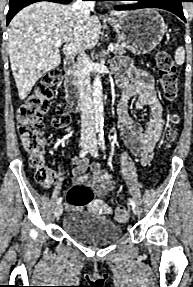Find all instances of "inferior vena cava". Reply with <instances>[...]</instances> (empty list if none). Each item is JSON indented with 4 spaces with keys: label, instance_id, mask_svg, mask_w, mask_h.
<instances>
[{
    "label": "inferior vena cava",
    "instance_id": "1",
    "mask_svg": "<svg viewBox=\"0 0 193 287\" xmlns=\"http://www.w3.org/2000/svg\"><path fill=\"white\" fill-rule=\"evenodd\" d=\"M94 1L77 0L73 5V10H78L84 16H89L90 11L94 8ZM90 60L82 49L78 52V57L75 65V76L79 90V101L81 107V138H95L94 130V113L92 102V90L90 84Z\"/></svg>",
    "mask_w": 193,
    "mask_h": 287
}]
</instances>
